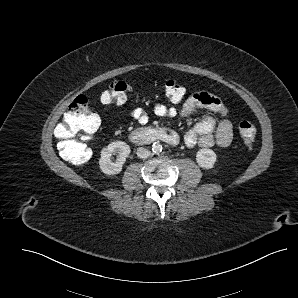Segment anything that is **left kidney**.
I'll return each instance as SVG.
<instances>
[{"label": "left kidney", "mask_w": 298, "mask_h": 298, "mask_svg": "<svg viewBox=\"0 0 298 298\" xmlns=\"http://www.w3.org/2000/svg\"><path fill=\"white\" fill-rule=\"evenodd\" d=\"M216 161V155L211 149H201L197 153V162L203 168H211Z\"/></svg>", "instance_id": "left-kidney-1"}]
</instances>
